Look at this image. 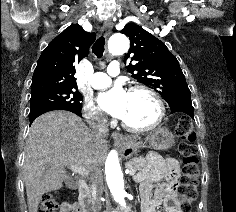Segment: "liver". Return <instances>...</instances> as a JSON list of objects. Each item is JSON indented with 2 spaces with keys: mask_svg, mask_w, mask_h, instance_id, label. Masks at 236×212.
<instances>
[{
  "mask_svg": "<svg viewBox=\"0 0 236 212\" xmlns=\"http://www.w3.org/2000/svg\"><path fill=\"white\" fill-rule=\"evenodd\" d=\"M23 177L29 212H37L45 193L58 190L71 165L87 171L100 169L108 149L106 139L96 141L82 119L68 111H52L31 125L26 141Z\"/></svg>",
  "mask_w": 236,
  "mask_h": 212,
  "instance_id": "liver-1",
  "label": "liver"
}]
</instances>
